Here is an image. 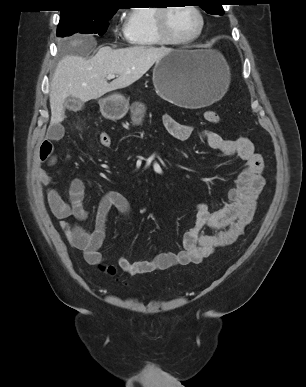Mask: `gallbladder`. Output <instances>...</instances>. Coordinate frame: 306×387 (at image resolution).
I'll use <instances>...</instances> for the list:
<instances>
[{
	"label": "gallbladder",
	"instance_id": "1",
	"mask_svg": "<svg viewBox=\"0 0 306 387\" xmlns=\"http://www.w3.org/2000/svg\"><path fill=\"white\" fill-rule=\"evenodd\" d=\"M78 103H79L78 99L74 97H68L64 102V106L70 110H76Z\"/></svg>",
	"mask_w": 306,
	"mask_h": 387
}]
</instances>
